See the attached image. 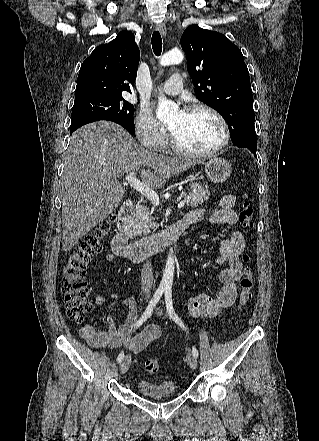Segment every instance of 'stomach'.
<instances>
[{
  "label": "stomach",
  "mask_w": 319,
  "mask_h": 441,
  "mask_svg": "<svg viewBox=\"0 0 319 441\" xmlns=\"http://www.w3.org/2000/svg\"><path fill=\"white\" fill-rule=\"evenodd\" d=\"M231 169V165L221 158H213L205 163L207 177L214 183L225 181L230 176Z\"/></svg>",
  "instance_id": "0dacf381"
}]
</instances>
